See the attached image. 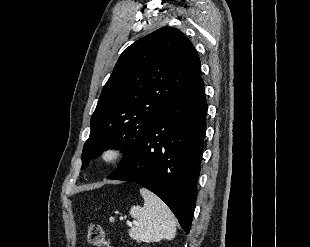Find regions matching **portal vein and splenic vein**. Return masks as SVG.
<instances>
[{"instance_id":"obj_1","label":"portal vein and splenic vein","mask_w":310,"mask_h":247,"mask_svg":"<svg viewBox=\"0 0 310 247\" xmlns=\"http://www.w3.org/2000/svg\"><path fill=\"white\" fill-rule=\"evenodd\" d=\"M133 223H135V222H133ZM128 224H129V225H132V222H129Z\"/></svg>"}]
</instances>
